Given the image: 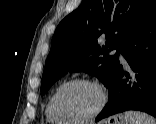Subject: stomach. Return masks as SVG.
I'll return each mask as SVG.
<instances>
[{
    "label": "stomach",
    "mask_w": 156,
    "mask_h": 124,
    "mask_svg": "<svg viewBox=\"0 0 156 124\" xmlns=\"http://www.w3.org/2000/svg\"><path fill=\"white\" fill-rule=\"evenodd\" d=\"M108 124H128L122 115L115 116Z\"/></svg>",
    "instance_id": "stomach-1"
}]
</instances>
